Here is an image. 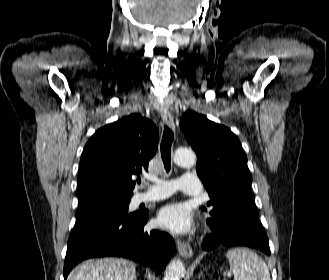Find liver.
<instances>
[{"instance_id": "liver-1", "label": "liver", "mask_w": 329, "mask_h": 280, "mask_svg": "<svg viewBox=\"0 0 329 280\" xmlns=\"http://www.w3.org/2000/svg\"><path fill=\"white\" fill-rule=\"evenodd\" d=\"M136 265L122 258L88 260L78 265L67 280H134Z\"/></svg>"}]
</instances>
